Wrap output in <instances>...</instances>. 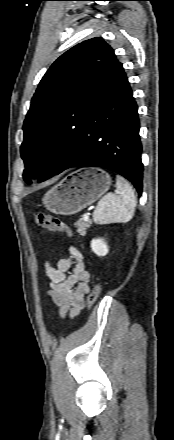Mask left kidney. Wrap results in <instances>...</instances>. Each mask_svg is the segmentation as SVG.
I'll return each mask as SVG.
<instances>
[{
	"mask_svg": "<svg viewBox=\"0 0 174 440\" xmlns=\"http://www.w3.org/2000/svg\"><path fill=\"white\" fill-rule=\"evenodd\" d=\"M91 249L98 256H105L108 253L107 244L100 238L91 241Z\"/></svg>",
	"mask_w": 174,
	"mask_h": 440,
	"instance_id": "5707ae66",
	"label": "left kidney"
}]
</instances>
